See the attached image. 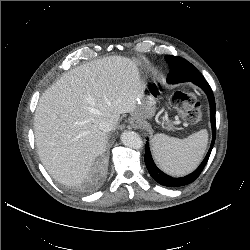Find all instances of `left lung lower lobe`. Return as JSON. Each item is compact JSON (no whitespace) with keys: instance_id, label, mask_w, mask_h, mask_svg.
<instances>
[{"instance_id":"0a47b994","label":"left lung lower lobe","mask_w":250,"mask_h":250,"mask_svg":"<svg viewBox=\"0 0 250 250\" xmlns=\"http://www.w3.org/2000/svg\"><path fill=\"white\" fill-rule=\"evenodd\" d=\"M168 64L170 67V72H169L170 80L168 83L175 84V83H180V82L191 81L194 84L201 87L205 91V93L208 96L209 103H210V117H211L212 135H213L212 143L202 163L191 174L185 177H181V178H174L162 172L155 165L151 152H150L149 142H146L144 160H145L146 167L150 175L152 176V178L163 186L180 187V186H185L187 184H190L191 182L196 180L198 176L200 175V173L202 172V170L204 169L209 159L210 153L212 151V148L215 142V137H216L215 99H214V95H213V91L211 87L206 82L202 74L187 60L181 57H176L175 59L170 60Z\"/></svg>"}]
</instances>
